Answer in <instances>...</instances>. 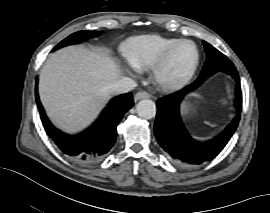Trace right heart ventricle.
<instances>
[{
    "label": "right heart ventricle",
    "mask_w": 270,
    "mask_h": 213,
    "mask_svg": "<svg viewBox=\"0 0 270 213\" xmlns=\"http://www.w3.org/2000/svg\"><path fill=\"white\" fill-rule=\"evenodd\" d=\"M178 39L143 35L131 39L124 51L126 61L136 69H149L161 54Z\"/></svg>",
    "instance_id": "right-heart-ventricle-1"
}]
</instances>
